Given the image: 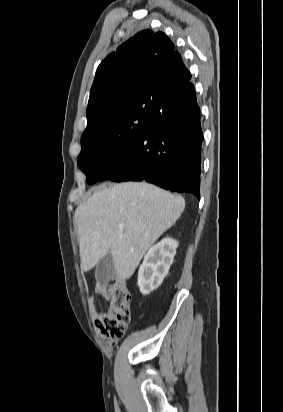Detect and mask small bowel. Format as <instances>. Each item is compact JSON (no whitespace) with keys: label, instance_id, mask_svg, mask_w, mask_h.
Instances as JSON below:
<instances>
[{"label":"small bowel","instance_id":"small-bowel-1","mask_svg":"<svg viewBox=\"0 0 283 412\" xmlns=\"http://www.w3.org/2000/svg\"><path fill=\"white\" fill-rule=\"evenodd\" d=\"M105 295H106L105 287L101 284H97L95 286L94 293L90 295L88 298L89 311L94 319L98 318L102 314V312H99L97 309L96 297L105 296Z\"/></svg>","mask_w":283,"mask_h":412}]
</instances>
